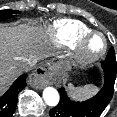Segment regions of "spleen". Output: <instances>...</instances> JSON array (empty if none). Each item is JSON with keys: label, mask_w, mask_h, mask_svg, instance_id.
I'll use <instances>...</instances> for the list:
<instances>
[{"label": "spleen", "mask_w": 117, "mask_h": 117, "mask_svg": "<svg viewBox=\"0 0 117 117\" xmlns=\"http://www.w3.org/2000/svg\"><path fill=\"white\" fill-rule=\"evenodd\" d=\"M68 91L72 98L85 100L93 96L98 91V88L92 84H88V85L77 87V88L69 84Z\"/></svg>", "instance_id": "1"}]
</instances>
